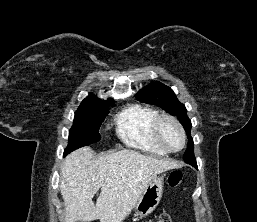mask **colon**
Segmentation results:
<instances>
[{
  "label": "colon",
  "mask_w": 257,
  "mask_h": 222,
  "mask_svg": "<svg viewBox=\"0 0 257 222\" xmlns=\"http://www.w3.org/2000/svg\"><path fill=\"white\" fill-rule=\"evenodd\" d=\"M183 180V173L180 170H173L167 178V185L170 189H176L180 186ZM155 222H173L169 213L164 212L158 216Z\"/></svg>",
  "instance_id": "colon-1"
}]
</instances>
